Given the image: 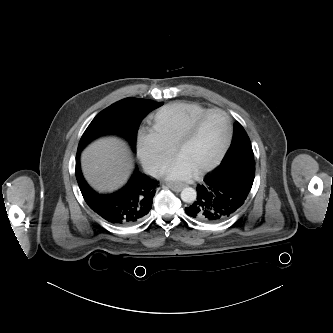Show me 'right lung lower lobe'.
I'll use <instances>...</instances> for the list:
<instances>
[{
    "mask_svg": "<svg viewBox=\"0 0 333 333\" xmlns=\"http://www.w3.org/2000/svg\"><path fill=\"white\" fill-rule=\"evenodd\" d=\"M80 152L76 155V179L88 206L108 222L120 226L134 225L145 218L152 207L158 181L137 168L128 183L112 194H99L86 183L80 169Z\"/></svg>",
    "mask_w": 333,
    "mask_h": 333,
    "instance_id": "obj_1",
    "label": "right lung lower lobe"
}]
</instances>
